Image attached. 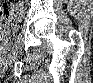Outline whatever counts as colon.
Instances as JSON below:
<instances>
[{
	"label": "colon",
	"instance_id": "5ec220e1",
	"mask_svg": "<svg viewBox=\"0 0 93 83\" xmlns=\"http://www.w3.org/2000/svg\"><path fill=\"white\" fill-rule=\"evenodd\" d=\"M5 3H9V5L3 6L1 9V15L3 20H8L12 17L17 11V5H22L23 1H6Z\"/></svg>",
	"mask_w": 93,
	"mask_h": 83
}]
</instances>
